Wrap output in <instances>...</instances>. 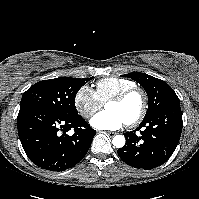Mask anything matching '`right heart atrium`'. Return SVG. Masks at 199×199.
<instances>
[{"label": "right heart atrium", "mask_w": 199, "mask_h": 199, "mask_svg": "<svg viewBox=\"0 0 199 199\" xmlns=\"http://www.w3.org/2000/svg\"><path fill=\"white\" fill-rule=\"evenodd\" d=\"M74 104L85 119L93 117L103 106L95 91L88 85L79 88L74 97Z\"/></svg>", "instance_id": "d8ad5b80"}]
</instances>
